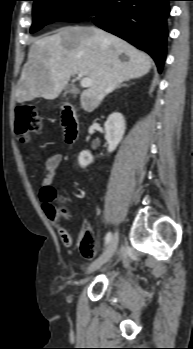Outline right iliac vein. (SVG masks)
<instances>
[{
  "label": "right iliac vein",
  "mask_w": 193,
  "mask_h": 349,
  "mask_svg": "<svg viewBox=\"0 0 193 349\" xmlns=\"http://www.w3.org/2000/svg\"><path fill=\"white\" fill-rule=\"evenodd\" d=\"M119 242V232L117 231L110 240L106 250L87 269V273H92L104 265L115 253Z\"/></svg>",
  "instance_id": "1"
}]
</instances>
